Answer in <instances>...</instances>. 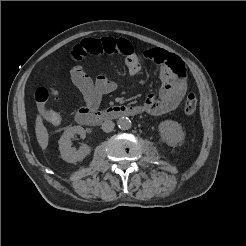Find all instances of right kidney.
Instances as JSON below:
<instances>
[{
	"label": "right kidney",
	"mask_w": 246,
	"mask_h": 246,
	"mask_svg": "<svg viewBox=\"0 0 246 246\" xmlns=\"http://www.w3.org/2000/svg\"><path fill=\"white\" fill-rule=\"evenodd\" d=\"M75 134H79L82 138H85L86 132L81 126L68 127L58 141L61 157L68 163L83 160L91 151L90 147L86 144H83L79 149L71 147V139Z\"/></svg>",
	"instance_id": "ca27d5eb"
}]
</instances>
